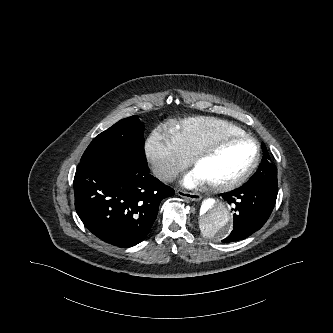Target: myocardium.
Returning a JSON list of instances; mask_svg holds the SVG:
<instances>
[{"mask_svg": "<svg viewBox=\"0 0 333 333\" xmlns=\"http://www.w3.org/2000/svg\"><path fill=\"white\" fill-rule=\"evenodd\" d=\"M228 140H247L252 142L255 145V155L250 163V165L237 177L221 183H213L207 182V186L210 190L215 192H225L233 190L242 184H244L250 176L253 174L255 169L257 168L260 156H261V147L259 141L247 134H237V133H224L220 134L209 141H207L204 145H202L191 157V163L194 167L198 165V163L207 157L219 144L223 143L224 141Z\"/></svg>", "mask_w": 333, "mask_h": 333, "instance_id": "1", "label": "myocardium"}]
</instances>
